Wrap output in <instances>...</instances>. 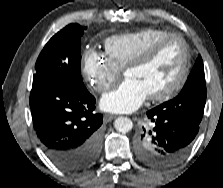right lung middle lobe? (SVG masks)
<instances>
[{
  "mask_svg": "<svg viewBox=\"0 0 223 188\" xmlns=\"http://www.w3.org/2000/svg\"><path fill=\"white\" fill-rule=\"evenodd\" d=\"M85 29L73 23L55 34L36 61L33 80L58 83L80 93L87 92L81 76L80 54V40Z\"/></svg>",
  "mask_w": 223,
  "mask_h": 188,
  "instance_id": "obj_1",
  "label": "right lung middle lobe"
}]
</instances>
